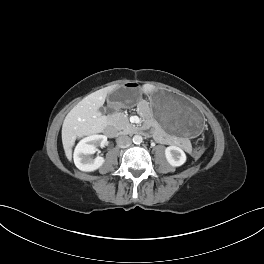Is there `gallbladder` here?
Wrapping results in <instances>:
<instances>
[{"instance_id":"gallbladder-1","label":"gallbladder","mask_w":264,"mask_h":264,"mask_svg":"<svg viewBox=\"0 0 264 264\" xmlns=\"http://www.w3.org/2000/svg\"><path fill=\"white\" fill-rule=\"evenodd\" d=\"M99 112H100L101 114H104V113H105V107H104V106H101V107L99 108Z\"/></svg>"}]
</instances>
